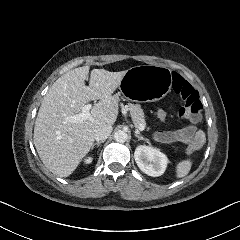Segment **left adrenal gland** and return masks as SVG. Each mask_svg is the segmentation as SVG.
<instances>
[{
  "label": "left adrenal gland",
  "instance_id": "a2214340",
  "mask_svg": "<svg viewBox=\"0 0 240 240\" xmlns=\"http://www.w3.org/2000/svg\"><path fill=\"white\" fill-rule=\"evenodd\" d=\"M135 137H137L138 138V140H143V141H145V142H149V139H147V138H144L143 136H141V135H139V134H135Z\"/></svg>",
  "mask_w": 240,
  "mask_h": 240
}]
</instances>
